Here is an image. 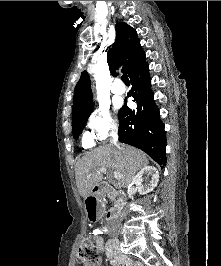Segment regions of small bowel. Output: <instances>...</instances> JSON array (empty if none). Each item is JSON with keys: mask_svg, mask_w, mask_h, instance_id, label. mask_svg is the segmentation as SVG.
Instances as JSON below:
<instances>
[{"mask_svg": "<svg viewBox=\"0 0 221 266\" xmlns=\"http://www.w3.org/2000/svg\"><path fill=\"white\" fill-rule=\"evenodd\" d=\"M94 234V233H93ZM97 247L99 250L103 249L102 241L100 238H96ZM106 255L110 260L112 266H145L140 261H133L130 258L121 255L114 246H109L106 248ZM101 263V258H96L91 263H86L83 266H99Z\"/></svg>", "mask_w": 221, "mask_h": 266, "instance_id": "small-bowel-1", "label": "small bowel"}]
</instances>
